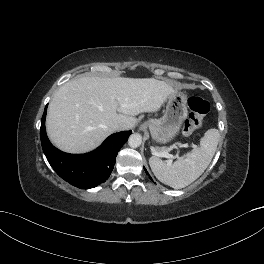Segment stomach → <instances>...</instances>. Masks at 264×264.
<instances>
[{"mask_svg": "<svg viewBox=\"0 0 264 264\" xmlns=\"http://www.w3.org/2000/svg\"><path fill=\"white\" fill-rule=\"evenodd\" d=\"M187 113V96L176 90L168 98L164 115L159 119H150L146 122L153 140L160 144H166L174 139L178 135Z\"/></svg>", "mask_w": 264, "mask_h": 264, "instance_id": "0dacf381", "label": "stomach"}]
</instances>
